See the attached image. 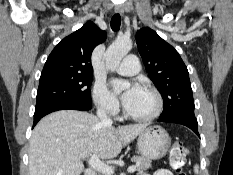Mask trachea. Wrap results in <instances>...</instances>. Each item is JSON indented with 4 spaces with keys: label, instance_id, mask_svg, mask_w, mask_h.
Here are the masks:
<instances>
[{
    "label": "trachea",
    "instance_id": "trachea-1",
    "mask_svg": "<svg viewBox=\"0 0 233 175\" xmlns=\"http://www.w3.org/2000/svg\"><path fill=\"white\" fill-rule=\"evenodd\" d=\"M111 28L113 31H118L119 28H120V25H121V17H120V14H115L113 17H112V20H111Z\"/></svg>",
    "mask_w": 233,
    "mask_h": 175
}]
</instances>
